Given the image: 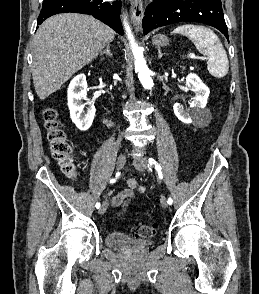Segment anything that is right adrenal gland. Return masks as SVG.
I'll return each instance as SVG.
<instances>
[{"mask_svg": "<svg viewBox=\"0 0 259 294\" xmlns=\"http://www.w3.org/2000/svg\"><path fill=\"white\" fill-rule=\"evenodd\" d=\"M104 54H105L106 56L112 58V52H111V50H110V45H109V44L106 46V49H105L104 51H101V52H100V56H102V55H104Z\"/></svg>", "mask_w": 259, "mask_h": 294, "instance_id": "1", "label": "right adrenal gland"}]
</instances>
